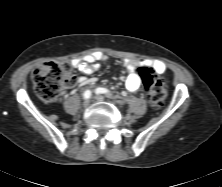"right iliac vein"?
I'll return each instance as SVG.
<instances>
[{"label":"right iliac vein","instance_id":"63e3f726","mask_svg":"<svg viewBox=\"0 0 222 187\" xmlns=\"http://www.w3.org/2000/svg\"><path fill=\"white\" fill-rule=\"evenodd\" d=\"M89 103H90V100H89V99L85 100V102H84V106H88Z\"/></svg>","mask_w":222,"mask_h":187}]
</instances>
